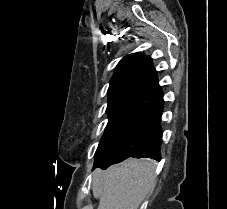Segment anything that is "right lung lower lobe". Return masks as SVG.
Returning a JSON list of instances; mask_svg holds the SVG:
<instances>
[{
	"instance_id": "obj_1",
	"label": "right lung lower lobe",
	"mask_w": 227,
	"mask_h": 209,
	"mask_svg": "<svg viewBox=\"0 0 227 209\" xmlns=\"http://www.w3.org/2000/svg\"><path fill=\"white\" fill-rule=\"evenodd\" d=\"M162 101L153 109L148 124L131 140L116 150L108 159L107 164L100 168L106 169L112 164L124 161L127 158H151L161 160L160 144L162 142L161 112Z\"/></svg>"
}]
</instances>
